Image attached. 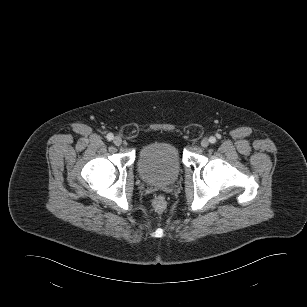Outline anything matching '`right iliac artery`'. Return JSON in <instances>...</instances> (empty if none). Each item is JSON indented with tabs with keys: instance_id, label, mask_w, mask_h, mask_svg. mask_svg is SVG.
Instances as JSON below:
<instances>
[{
	"instance_id": "1",
	"label": "right iliac artery",
	"mask_w": 307,
	"mask_h": 307,
	"mask_svg": "<svg viewBox=\"0 0 307 307\" xmlns=\"http://www.w3.org/2000/svg\"><path fill=\"white\" fill-rule=\"evenodd\" d=\"M114 138L112 133L107 134V139L111 141Z\"/></svg>"
}]
</instances>
